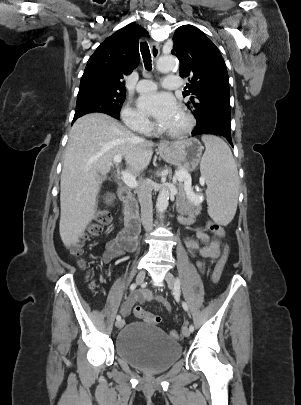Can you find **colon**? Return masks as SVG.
Segmentation results:
<instances>
[{"label": "colon", "instance_id": "colon-1", "mask_svg": "<svg viewBox=\"0 0 301 405\" xmlns=\"http://www.w3.org/2000/svg\"><path fill=\"white\" fill-rule=\"evenodd\" d=\"M111 221V217L108 212L106 211H99L94 215V218L90 225L87 227L86 230V236L85 237H97L99 236L104 227L108 225ZM207 229L215 234L216 236L219 237H224L225 236V231L223 227L217 223L214 222H208L207 223ZM82 242L76 243L71 247V253L74 256L79 257L82 254ZM229 255V247L226 245L224 247L223 253L220 256V258L217 260L213 274H212V280L214 283H218L221 275L223 273L224 267L226 265L227 259ZM83 264V263H82ZM134 314L136 317L142 319L143 321L150 323V324H159L161 321V318L159 315L147 312L140 306H136L134 308ZM169 335L171 338L175 340H179L181 338V334L177 330H170Z\"/></svg>", "mask_w": 301, "mask_h": 405}]
</instances>
